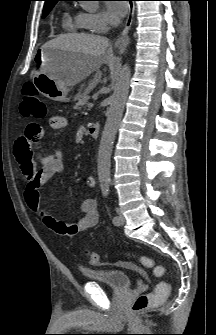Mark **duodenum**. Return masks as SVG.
I'll return each instance as SVG.
<instances>
[{"label":"duodenum","instance_id":"410a0bca","mask_svg":"<svg viewBox=\"0 0 216 335\" xmlns=\"http://www.w3.org/2000/svg\"><path fill=\"white\" fill-rule=\"evenodd\" d=\"M89 135L93 138H96L99 133V124H91L88 129Z\"/></svg>","mask_w":216,"mask_h":335}]
</instances>
